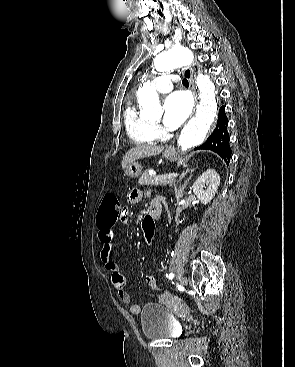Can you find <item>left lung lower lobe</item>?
<instances>
[{
	"label": "left lung lower lobe",
	"instance_id": "obj_1",
	"mask_svg": "<svg viewBox=\"0 0 295 367\" xmlns=\"http://www.w3.org/2000/svg\"><path fill=\"white\" fill-rule=\"evenodd\" d=\"M228 119L225 114V107L220 108L216 128L195 150H211L223 158L226 164H229L231 157V148L229 146V135L227 133Z\"/></svg>",
	"mask_w": 295,
	"mask_h": 367
}]
</instances>
